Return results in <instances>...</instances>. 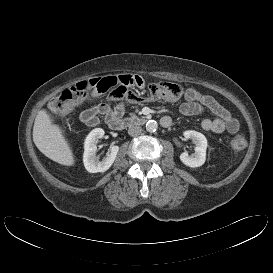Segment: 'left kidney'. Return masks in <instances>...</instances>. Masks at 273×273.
Segmentation results:
<instances>
[{"label":"left kidney","mask_w":273,"mask_h":273,"mask_svg":"<svg viewBox=\"0 0 273 273\" xmlns=\"http://www.w3.org/2000/svg\"><path fill=\"white\" fill-rule=\"evenodd\" d=\"M183 135L186 139H191L193 141L195 144V152L191 155H189L188 152H183L180 155V160L191 168L202 166L206 159V137L202 133L194 130L185 131Z\"/></svg>","instance_id":"left-kidney-1"}]
</instances>
